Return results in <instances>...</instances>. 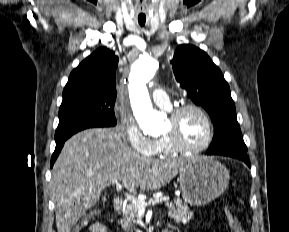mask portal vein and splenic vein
Masks as SVG:
<instances>
[{
    "instance_id": "portal-vein-and-splenic-vein-1",
    "label": "portal vein and splenic vein",
    "mask_w": 289,
    "mask_h": 232,
    "mask_svg": "<svg viewBox=\"0 0 289 232\" xmlns=\"http://www.w3.org/2000/svg\"><path fill=\"white\" fill-rule=\"evenodd\" d=\"M116 189H117V191H121L122 190V184L121 183H116ZM125 197L130 199L132 201V203H134L137 206L138 210L141 211V212H144L146 207L149 206V205H154V204H157V203L168 202L170 200L169 197L164 196V197H160V198L155 199V200H151L149 202H145L142 199L136 198L134 195H131V194H128V193H125Z\"/></svg>"
}]
</instances>
